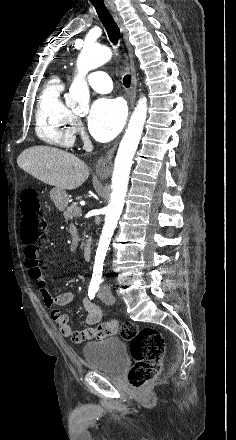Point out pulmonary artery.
<instances>
[{
	"label": "pulmonary artery",
	"instance_id": "e3ab8cb5",
	"mask_svg": "<svg viewBox=\"0 0 236 440\" xmlns=\"http://www.w3.org/2000/svg\"><path fill=\"white\" fill-rule=\"evenodd\" d=\"M90 87L97 93L105 94L112 90V82L109 75L103 71H94L88 76Z\"/></svg>",
	"mask_w": 236,
	"mask_h": 440
}]
</instances>
